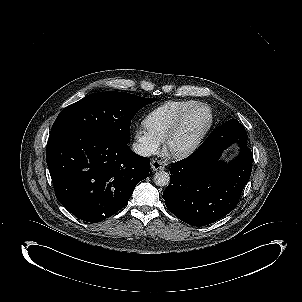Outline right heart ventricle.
Wrapping results in <instances>:
<instances>
[{
    "mask_svg": "<svg viewBox=\"0 0 302 302\" xmlns=\"http://www.w3.org/2000/svg\"><path fill=\"white\" fill-rule=\"evenodd\" d=\"M195 105L190 101H171L153 111L145 120V126L151 135L164 138L177 119Z\"/></svg>",
    "mask_w": 302,
    "mask_h": 302,
    "instance_id": "obj_1",
    "label": "right heart ventricle"
}]
</instances>
